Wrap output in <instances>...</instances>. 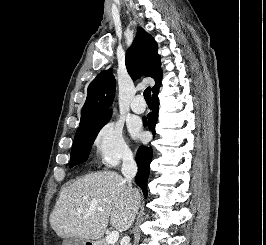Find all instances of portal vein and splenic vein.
Segmentation results:
<instances>
[{"mask_svg":"<svg viewBox=\"0 0 266 245\" xmlns=\"http://www.w3.org/2000/svg\"><path fill=\"white\" fill-rule=\"evenodd\" d=\"M98 211H102V209H98ZM119 237H120V235H119L118 231H111V233H109V235H107L105 241H106L107 245H114V243H117Z\"/></svg>","mask_w":266,"mask_h":245,"instance_id":"portal-vein-and-splenic-vein-1","label":"portal vein and splenic vein"}]
</instances>
